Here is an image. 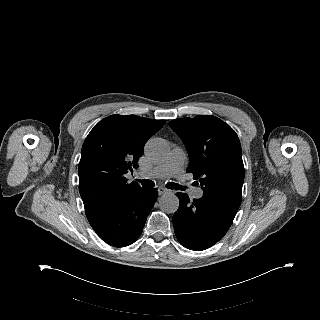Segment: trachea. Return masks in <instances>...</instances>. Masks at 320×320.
Wrapping results in <instances>:
<instances>
[{
	"label": "trachea",
	"mask_w": 320,
	"mask_h": 320,
	"mask_svg": "<svg viewBox=\"0 0 320 320\" xmlns=\"http://www.w3.org/2000/svg\"><path fill=\"white\" fill-rule=\"evenodd\" d=\"M143 187H147V188H150V187H154V182L152 180H148V179H144V180H138ZM166 187L169 188V189H177V190H186V187L185 186H181L179 184H175V183H172V182H169L166 184Z\"/></svg>",
	"instance_id": "trachea-1"
}]
</instances>
